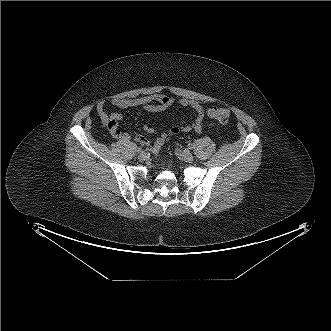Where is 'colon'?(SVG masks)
I'll return each instance as SVG.
<instances>
[{
	"mask_svg": "<svg viewBox=\"0 0 331 331\" xmlns=\"http://www.w3.org/2000/svg\"><path fill=\"white\" fill-rule=\"evenodd\" d=\"M207 114L210 118L221 124H226L230 119V112L227 108L212 106L208 109Z\"/></svg>",
	"mask_w": 331,
	"mask_h": 331,
	"instance_id": "obj_1",
	"label": "colon"
}]
</instances>
